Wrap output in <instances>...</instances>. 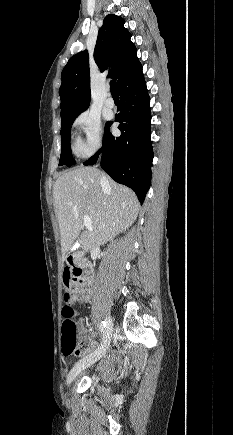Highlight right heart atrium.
<instances>
[{
    "mask_svg": "<svg viewBox=\"0 0 233 435\" xmlns=\"http://www.w3.org/2000/svg\"><path fill=\"white\" fill-rule=\"evenodd\" d=\"M74 126L83 132L76 142V153L89 156L102 145V124L99 115L93 110L83 111L75 120Z\"/></svg>",
    "mask_w": 233,
    "mask_h": 435,
    "instance_id": "right-heart-atrium-1",
    "label": "right heart atrium"
}]
</instances>
